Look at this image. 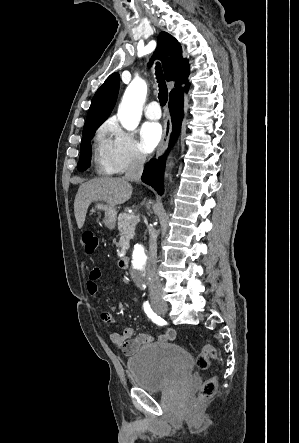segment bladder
Listing matches in <instances>:
<instances>
[{
    "instance_id": "bladder-1",
    "label": "bladder",
    "mask_w": 299,
    "mask_h": 443,
    "mask_svg": "<svg viewBox=\"0 0 299 443\" xmlns=\"http://www.w3.org/2000/svg\"><path fill=\"white\" fill-rule=\"evenodd\" d=\"M193 358L176 343H152L140 348L127 362L132 382L147 391H160L189 378Z\"/></svg>"
}]
</instances>
